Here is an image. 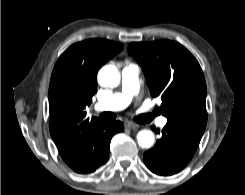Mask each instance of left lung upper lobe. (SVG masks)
I'll list each match as a JSON object with an SVG mask.
<instances>
[{"instance_id":"obj_1","label":"left lung upper lobe","mask_w":245,"mask_h":195,"mask_svg":"<svg viewBox=\"0 0 245 195\" xmlns=\"http://www.w3.org/2000/svg\"><path fill=\"white\" fill-rule=\"evenodd\" d=\"M128 51L142 67L151 95L161 98L168 122L204 132L206 84L196 58L170 40L133 42Z\"/></svg>"}]
</instances>
